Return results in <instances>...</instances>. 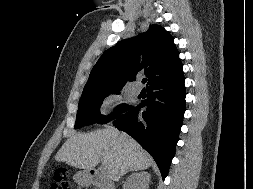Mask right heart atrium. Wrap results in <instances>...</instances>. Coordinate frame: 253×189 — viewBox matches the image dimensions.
Returning a JSON list of instances; mask_svg holds the SVG:
<instances>
[{
    "mask_svg": "<svg viewBox=\"0 0 253 189\" xmlns=\"http://www.w3.org/2000/svg\"><path fill=\"white\" fill-rule=\"evenodd\" d=\"M120 98L117 95H109L107 96L101 105V112L104 115H107L111 109L119 105Z\"/></svg>",
    "mask_w": 253,
    "mask_h": 189,
    "instance_id": "d8ad5b80",
    "label": "right heart atrium"
}]
</instances>
